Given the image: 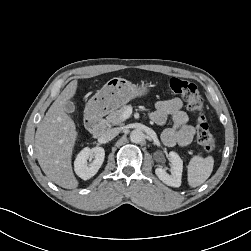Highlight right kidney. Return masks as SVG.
Returning a JSON list of instances; mask_svg holds the SVG:
<instances>
[{
    "label": "right kidney",
    "instance_id": "obj_1",
    "mask_svg": "<svg viewBox=\"0 0 251 251\" xmlns=\"http://www.w3.org/2000/svg\"><path fill=\"white\" fill-rule=\"evenodd\" d=\"M94 158L93 162L88 164V159ZM105 151L102 147L92 149L86 147L80 151L74 162L75 173L83 180L93 177L103 164Z\"/></svg>",
    "mask_w": 251,
    "mask_h": 251
}]
</instances>
